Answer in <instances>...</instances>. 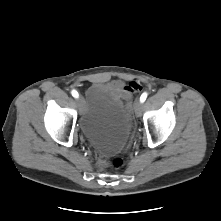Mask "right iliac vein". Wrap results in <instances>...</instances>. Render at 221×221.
I'll use <instances>...</instances> for the list:
<instances>
[{
  "instance_id": "63e3f726",
  "label": "right iliac vein",
  "mask_w": 221,
  "mask_h": 221,
  "mask_svg": "<svg viewBox=\"0 0 221 221\" xmlns=\"http://www.w3.org/2000/svg\"><path fill=\"white\" fill-rule=\"evenodd\" d=\"M76 102H77V104L79 106V110L82 112V109H83V98L81 96L77 97Z\"/></svg>"
}]
</instances>
